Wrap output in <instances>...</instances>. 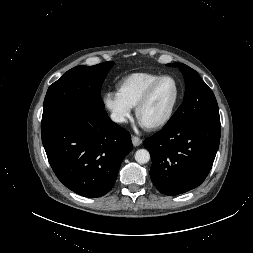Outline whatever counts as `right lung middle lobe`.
Returning a JSON list of instances; mask_svg holds the SVG:
<instances>
[{"instance_id":"obj_1","label":"right lung middle lobe","mask_w":253,"mask_h":253,"mask_svg":"<svg viewBox=\"0 0 253 253\" xmlns=\"http://www.w3.org/2000/svg\"><path fill=\"white\" fill-rule=\"evenodd\" d=\"M113 65L114 62L110 61L94 66L80 65L67 71L49 87L42 119L67 108H104L101 87Z\"/></svg>"}]
</instances>
